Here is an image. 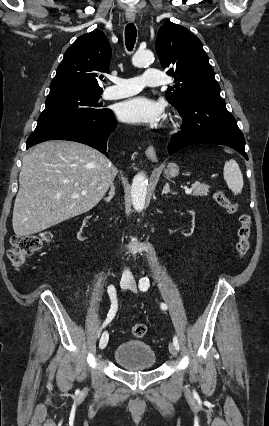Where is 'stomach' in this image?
I'll use <instances>...</instances> for the list:
<instances>
[{"label":"stomach","mask_w":269,"mask_h":426,"mask_svg":"<svg viewBox=\"0 0 269 426\" xmlns=\"http://www.w3.org/2000/svg\"><path fill=\"white\" fill-rule=\"evenodd\" d=\"M179 174V167L176 163H168L167 168L164 170V175L167 178H174Z\"/></svg>","instance_id":"obj_1"}]
</instances>
